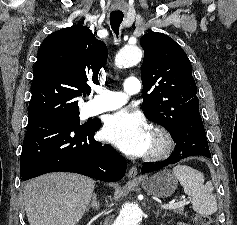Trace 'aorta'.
<instances>
[{
	"label": "aorta",
	"mask_w": 237,
	"mask_h": 225,
	"mask_svg": "<svg viewBox=\"0 0 237 225\" xmlns=\"http://www.w3.org/2000/svg\"><path fill=\"white\" fill-rule=\"evenodd\" d=\"M142 59V51L137 46H126L116 55L115 65L118 68L138 64ZM142 211L137 205L127 204L122 207L112 225H139Z\"/></svg>",
	"instance_id": "obj_1"
}]
</instances>
